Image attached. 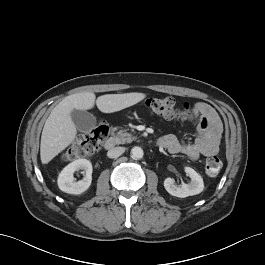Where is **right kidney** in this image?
Here are the masks:
<instances>
[{
  "label": "right kidney",
  "instance_id": "1",
  "mask_svg": "<svg viewBox=\"0 0 265 265\" xmlns=\"http://www.w3.org/2000/svg\"><path fill=\"white\" fill-rule=\"evenodd\" d=\"M84 170L85 177L82 180H79L78 182H75V178L73 176L75 171L78 170ZM92 181V164L87 159H78L70 164H68L66 167L63 168V170L60 172L58 176V187L61 191L79 195L83 192H85L91 185Z\"/></svg>",
  "mask_w": 265,
  "mask_h": 265
}]
</instances>
